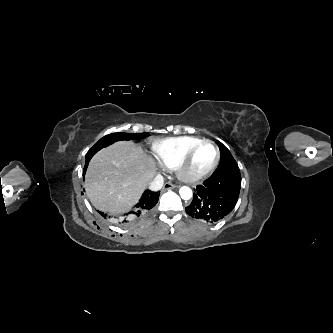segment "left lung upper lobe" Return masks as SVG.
I'll use <instances>...</instances> for the list:
<instances>
[{"label":"left lung upper lobe","instance_id":"5c2ea615","mask_svg":"<svg viewBox=\"0 0 333 333\" xmlns=\"http://www.w3.org/2000/svg\"><path fill=\"white\" fill-rule=\"evenodd\" d=\"M218 146L221 152V159L218 169L228 168L237 165L230 151L221 142L218 143Z\"/></svg>","mask_w":333,"mask_h":333}]
</instances>
